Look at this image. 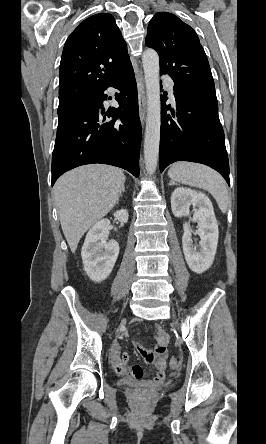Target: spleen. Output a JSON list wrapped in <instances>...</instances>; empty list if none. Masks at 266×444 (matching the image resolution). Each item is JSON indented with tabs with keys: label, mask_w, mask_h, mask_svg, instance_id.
<instances>
[{
	"label": "spleen",
	"mask_w": 266,
	"mask_h": 444,
	"mask_svg": "<svg viewBox=\"0 0 266 444\" xmlns=\"http://www.w3.org/2000/svg\"><path fill=\"white\" fill-rule=\"evenodd\" d=\"M168 175L173 181L208 191L216 200L220 210L223 213L227 211L229 196L226 183L213 169L197 163L176 162L170 167Z\"/></svg>",
	"instance_id": "obj_1"
}]
</instances>
